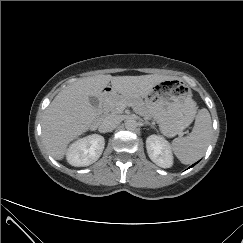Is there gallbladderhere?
I'll return each instance as SVG.
<instances>
[{"label": "gallbladder", "mask_w": 243, "mask_h": 243, "mask_svg": "<svg viewBox=\"0 0 243 243\" xmlns=\"http://www.w3.org/2000/svg\"><path fill=\"white\" fill-rule=\"evenodd\" d=\"M89 101H90V103H91V105L93 107L97 108L99 106V100H98V98L93 97V96H90L89 97Z\"/></svg>", "instance_id": "gallbladder-1"}]
</instances>
